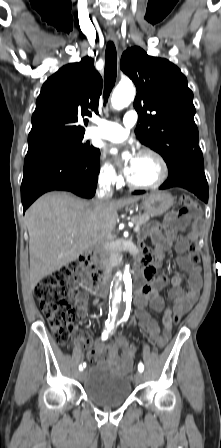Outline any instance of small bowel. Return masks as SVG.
<instances>
[{
    "label": "small bowel",
    "instance_id": "obj_1",
    "mask_svg": "<svg viewBox=\"0 0 221 448\" xmlns=\"http://www.w3.org/2000/svg\"><path fill=\"white\" fill-rule=\"evenodd\" d=\"M194 226L195 224L191 225L187 236L177 238V232L180 229L179 217L171 212L165 216L162 223L155 225L151 236L153 248L143 246V253L146 254L141 268L144 282L139 283L135 296L136 316L143 331L160 348L164 347L171 337L173 315L182 318L192 308L202 287L200 266L192 264L185 256L190 242L197 236V231L193 229ZM172 246L177 252V265L188 273V287L186 289L181 287L182 277L180 275L173 276L171 279L173 287L168 292L172 305L166 306L159 290L165 286L167 278L165 276L156 277L155 269L163 258V252ZM71 300L76 306L77 316L81 319L88 317L90 313L88 295L73 293ZM148 306L161 314L162 329L157 321L149 315ZM135 354L136 347L121 336L107 348L100 343L90 353V358L95 362L105 360L121 374H127L132 368Z\"/></svg>",
    "mask_w": 221,
    "mask_h": 448
}]
</instances>
